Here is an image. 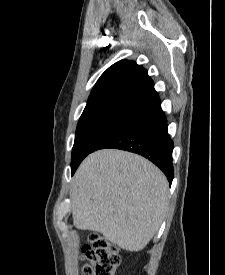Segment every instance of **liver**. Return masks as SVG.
Wrapping results in <instances>:
<instances>
[{"instance_id":"obj_1","label":"liver","mask_w":225,"mask_h":275,"mask_svg":"<svg viewBox=\"0 0 225 275\" xmlns=\"http://www.w3.org/2000/svg\"><path fill=\"white\" fill-rule=\"evenodd\" d=\"M168 195L165 175L149 160L122 150H99L88 155L74 175V224L138 252L158 231Z\"/></svg>"}]
</instances>
